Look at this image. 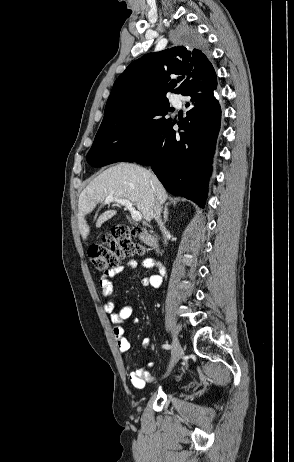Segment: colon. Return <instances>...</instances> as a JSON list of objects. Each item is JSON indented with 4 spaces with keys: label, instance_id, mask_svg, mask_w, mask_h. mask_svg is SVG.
<instances>
[{
    "label": "colon",
    "instance_id": "colon-1",
    "mask_svg": "<svg viewBox=\"0 0 294 462\" xmlns=\"http://www.w3.org/2000/svg\"><path fill=\"white\" fill-rule=\"evenodd\" d=\"M141 233L142 230L138 228L131 230L126 226L114 227L103 237L102 243L89 248L90 261L100 271L114 269L124 257L143 252V247L132 239V236Z\"/></svg>",
    "mask_w": 294,
    "mask_h": 462
}]
</instances>
